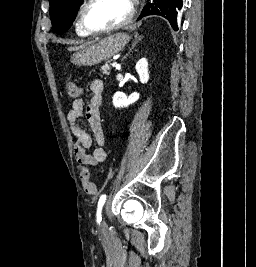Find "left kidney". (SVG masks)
<instances>
[{
	"label": "left kidney",
	"instance_id": "5707ae66",
	"mask_svg": "<svg viewBox=\"0 0 256 267\" xmlns=\"http://www.w3.org/2000/svg\"><path fill=\"white\" fill-rule=\"evenodd\" d=\"M135 70L137 74H139L141 84H147L149 80V70H148V62L146 58H141L136 62ZM140 94L138 92H132L130 96H126L124 92H116L113 96V106L115 108H127L130 104H134L139 100Z\"/></svg>",
	"mask_w": 256,
	"mask_h": 267
}]
</instances>
